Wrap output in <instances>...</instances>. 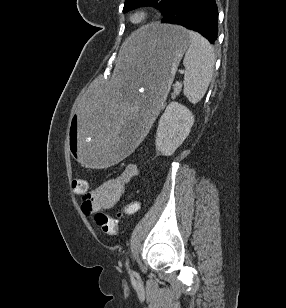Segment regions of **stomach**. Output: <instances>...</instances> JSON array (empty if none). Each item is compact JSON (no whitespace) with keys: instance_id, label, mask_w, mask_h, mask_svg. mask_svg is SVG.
<instances>
[{"instance_id":"0dacf381","label":"stomach","mask_w":286,"mask_h":308,"mask_svg":"<svg viewBox=\"0 0 286 308\" xmlns=\"http://www.w3.org/2000/svg\"><path fill=\"white\" fill-rule=\"evenodd\" d=\"M136 32L121 44L111 81H100L73 112L68 149L80 168H113L143 144L191 44L178 25L152 23Z\"/></svg>"}]
</instances>
